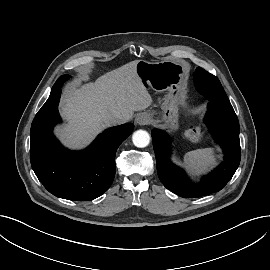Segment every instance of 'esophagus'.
I'll list each match as a JSON object with an SVG mask.
<instances>
[{
    "label": "esophagus",
    "instance_id": "34e87169",
    "mask_svg": "<svg viewBox=\"0 0 270 270\" xmlns=\"http://www.w3.org/2000/svg\"><path fill=\"white\" fill-rule=\"evenodd\" d=\"M135 122L138 125H147L150 122V116L147 113H140L136 116Z\"/></svg>",
    "mask_w": 270,
    "mask_h": 270
}]
</instances>
